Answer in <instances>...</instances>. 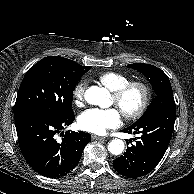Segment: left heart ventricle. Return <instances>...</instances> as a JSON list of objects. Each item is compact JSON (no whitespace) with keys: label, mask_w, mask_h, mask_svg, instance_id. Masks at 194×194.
Returning a JSON list of instances; mask_svg holds the SVG:
<instances>
[{"label":"left heart ventricle","mask_w":194,"mask_h":194,"mask_svg":"<svg viewBox=\"0 0 194 194\" xmlns=\"http://www.w3.org/2000/svg\"><path fill=\"white\" fill-rule=\"evenodd\" d=\"M141 99H142L141 90L138 88H134L130 90L129 93L126 95L120 107L122 110H125V111L134 110L139 106ZM112 103L115 104L113 97H112Z\"/></svg>","instance_id":"left-heart-ventricle-1"}]
</instances>
